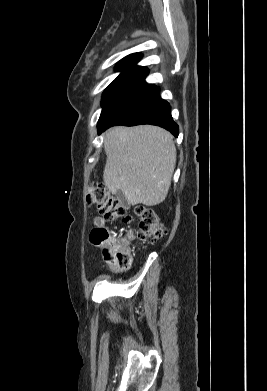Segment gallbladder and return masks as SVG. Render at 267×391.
Instances as JSON below:
<instances>
[{
    "instance_id": "obj_1",
    "label": "gallbladder",
    "mask_w": 267,
    "mask_h": 391,
    "mask_svg": "<svg viewBox=\"0 0 267 391\" xmlns=\"http://www.w3.org/2000/svg\"><path fill=\"white\" fill-rule=\"evenodd\" d=\"M116 196L118 198V200L122 203H125L126 202V198H125V195L124 193L121 191V190H118L117 193H116Z\"/></svg>"
}]
</instances>
